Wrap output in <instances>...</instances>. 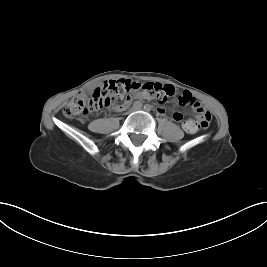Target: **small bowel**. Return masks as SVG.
Wrapping results in <instances>:
<instances>
[{
    "label": "small bowel",
    "instance_id": "small-bowel-1",
    "mask_svg": "<svg viewBox=\"0 0 267 267\" xmlns=\"http://www.w3.org/2000/svg\"><path fill=\"white\" fill-rule=\"evenodd\" d=\"M127 101L126 102H124V103H122V104H120V105H118V106H116L115 107V110L116 111H123V110H125L127 107H128V105H129V100H131V98L130 99H126ZM200 104V103H199ZM202 106V105H201ZM203 107V106H202ZM204 108V107H203ZM205 109V108H204ZM206 110V109H205ZM158 112L160 113V114H164L165 113V111H164V109H162V108H159L158 109ZM175 114H179L180 115V118L178 119V120H175L174 119V115ZM172 119L175 121V122H178V123H180V122H182V127H183V129L185 130V131H187L188 133H195V132H197V130H198V128H197V126L195 125V123H194V121L193 120H191V119H187V120H184L183 121V116H182V114H180V113H178V112H176V113H174L173 115H172Z\"/></svg>",
    "mask_w": 267,
    "mask_h": 267
}]
</instances>
